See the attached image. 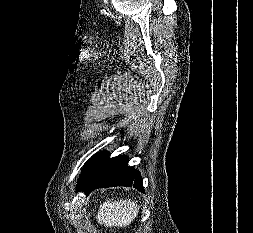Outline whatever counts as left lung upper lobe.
<instances>
[{
    "label": "left lung upper lobe",
    "instance_id": "5c2ea615",
    "mask_svg": "<svg viewBox=\"0 0 253 233\" xmlns=\"http://www.w3.org/2000/svg\"><path fill=\"white\" fill-rule=\"evenodd\" d=\"M100 153H97L96 155H94L93 157H91L87 162L86 164L84 165L83 169H82V172H81V175L79 177V181L78 183H80L83 179H85L89 173L91 172L98 156H99Z\"/></svg>",
    "mask_w": 253,
    "mask_h": 233
}]
</instances>
